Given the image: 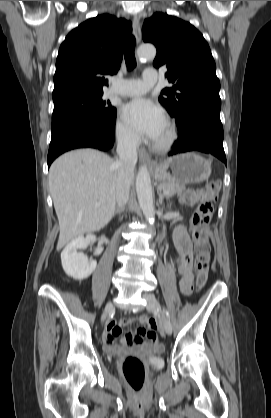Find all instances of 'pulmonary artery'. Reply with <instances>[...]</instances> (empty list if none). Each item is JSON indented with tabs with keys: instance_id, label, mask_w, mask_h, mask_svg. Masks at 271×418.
<instances>
[{
	"instance_id": "e3ab8cb5",
	"label": "pulmonary artery",
	"mask_w": 271,
	"mask_h": 418,
	"mask_svg": "<svg viewBox=\"0 0 271 418\" xmlns=\"http://www.w3.org/2000/svg\"><path fill=\"white\" fill-rule=\"evenodd\" d=\"M158 81V73L154 69H145L141 79H130L116 83L111 92L120 96H139L145 94Z\"/></svg>"
}]
</instances>
